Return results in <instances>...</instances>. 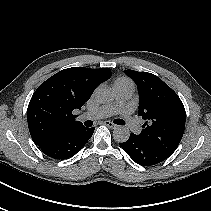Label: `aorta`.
<instances>
[{
	"mask_svg": "<svg viewBox=\"0 0 211 211\" xmlns=\"http://www.w3.org/2000/svg\"><path fill=\"white\" fill-rule=\"evenodd\" d=\"M96 99L100 103H108L113 101L114 94L107 88H102L97 90L96 92ZM130 131L125 126H118L113 130V138L117 142H125L129 139Z\"/></svg>",
	"mask_w": 211,
	"mask_h": 211,
	"instance_id": "1",
	"label": "aorta"
}]
</instances>
